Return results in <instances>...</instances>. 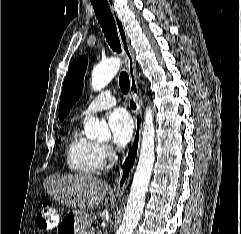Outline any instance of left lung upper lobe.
<instances>
[{"mask_svg": "<svg viewBox=\"0 0 241 234\" xmlns=\"http://www.w3.org/2000/svg\"><path fill=\"white\" fill-rule=\"evenodd\" d=\"M87 63V58L82 56L76 58L69 67L60 97L59 119L61 121L65 118L73 104L81 96L83 78Z\"/></svg>", "mask_w": 241, "mask_h": 234, "instance_id": "5c2ea615", "label": "left lung upper lobe"}]
</instances>
